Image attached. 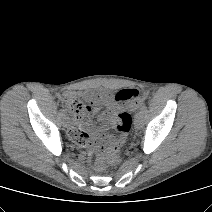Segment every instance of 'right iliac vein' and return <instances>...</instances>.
Wrapping results in <instances>:
<instances>
[{
  "instance_id": "obj_1",
  "label": "right iliac vein",
  "mask_w": 212,
  "mask_h": 212,
  "mask_svg": "<svg viewBox=\"0 0 212 212\" xmlns=\"http://www.w3.org/2000/svg\"><path fill=\"white\" fill-rule=\"evenodd\" d=\"M63 124L65 127H69L71 125V121L68 117L63 118Z\"/></svg>"
}]
</instances>
